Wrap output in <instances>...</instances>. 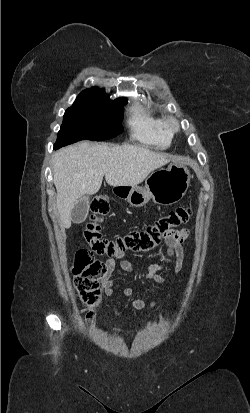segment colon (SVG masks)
I'll use <instances>...</instances> for the list:
<instances>
[{
    "instance_id": "colon-1",
    "label": "colon",
    "mask_w": 250,
    "mask_h": 413,
    "mask_svg": "<svg viewBox=\"0 0 250 413\" xmlns=\"http://www.w3.org/2000/svg\"><path fill=\"white\" fill-rule=\"evenodd\" d=\"M109 212V203L104 196H97L91 202V220L83 232V238L93 253L113 256L126 251L148 252L165 238V229H173L185 224L191 215L188 207H179L161 217L144 230L132 231L114 240L106 239L101 234L100 221ZM92 252L81 250L74 259L71 269L75 286L81 300L89 306H96L100 301L99 280L105 274V266L93 258Z\"/></svg>"
}]
</instances>
